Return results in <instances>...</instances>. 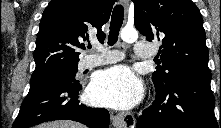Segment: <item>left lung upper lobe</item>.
I'll list each match as a JSON object with an SVG mask.
<instances>
[{
  "instance_id": "obj_1",
  "label": "left lung upper lobe",
  "mask_w": 221,
  "mask_h": 128,
  "mask_svg": "<svg viewBox=\"0 0 221 128\" xmlns=\"http://www.w3.org/2000/svg\"><path fill=\"white\" fill-rule=\"evenodd\" d=\"M134 23L148 41H161L152 75L164 91L183 79L211 80L203 20L191 0H133Z\"/></svg>"
}]
</instances>
